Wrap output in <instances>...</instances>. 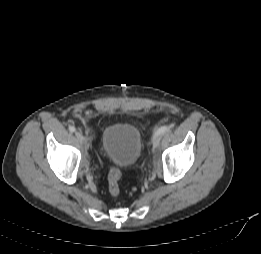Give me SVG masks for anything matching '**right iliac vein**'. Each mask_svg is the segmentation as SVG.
<instances>
[{"instance_id": "right-iliac-vein-1", "label": "right iliac vein", "mask_w": 261, "mask_h": 254, "mask_svg": "<svg viewBox=\"0 0 261 254\" xmlns=\"http://www.w3.org/2000/svg\"><path fill=\"white\" fill-rule=\"evenodd\" d=\"M75 136H76L77 139H78L79 141H81L83 144H85V145H88V144H89V140H88L87 138H85V137L82 135L81 132L76 131V132H75Z\"/></svg>"}]
</instances>
